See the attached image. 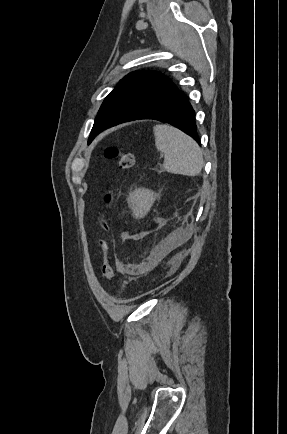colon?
I'll list each match as a JSON object with an SVG mask.
<instances>
[{"label":"colon","instance_id":"1","mask_svg":"<svg viewBox=\"0 0 287 434\" xmlns=\"http://www.w3.org/2000/svg\"><path fill=\"white\" fill-rule=\"evenodd\" d=\"M105 154L108 158L117 159L119 166L122 170L128 171L132 169L135 164L134 154L130 150H121L114 147H110L106 149ZM116 198H117L116 189L115 187H111L106 192L104 197L105 206L108 210H112L114 208ZM98 222L104 232L103 236L99 240V245L104 252V260L101 267V274L106 280L110 281L114 274L113 267L111 264L110 253H109L110 227L108 224L107 217L105 215L99 216Z\"/></svg>","mask_w":287,"mask_h":434}]
</instances>
